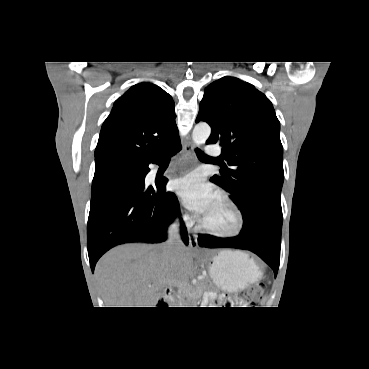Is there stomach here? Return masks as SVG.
Returning <instances> with one entry per match:
<instances>
[{"instance_id":"obj_1","label":"stomach","mask_w":369,"mask_h":369,"mask_svg":"<svg viewBox=\"0 0 369 369\" xmlns=\"http://www.w3.org/2000/svg\"><path fill=\"white\" fill-rule=\"evenodd\" d=\"M209 270L214 283L225 292H238L261 276L255 262L240 251H221L213 258Z\"/></svg>"}]
</instances>
